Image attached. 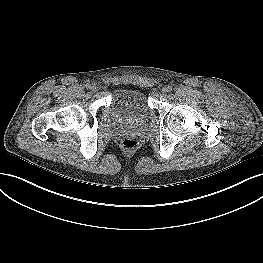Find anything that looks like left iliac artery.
<instances>
[{"instance_id":"1","label":"left iliac artery","mask_w":263,"mask_h":263,"mask_svg":"<svg viewBox=\"0 0 263 263\" xmlns=\"http://www.w3.org/2000/svg\"><path fill=\"white\" fill-rule=\"evenodd\" d=\"M167 89L169 92L172 91V86L168 85Z\"/></svg>"}]
</instances>
